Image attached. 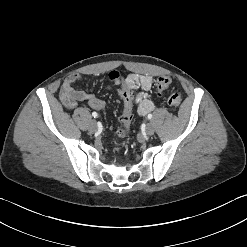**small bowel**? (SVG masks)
Returning a JSON list of instances; mask_svg holds the SVG:
<instances>
[{
	"label": "small bowel",
	"mask_w": 247,
	"mask_h": 247,
	"mask_svg": "<svg viewBox=\"0 0 247 247\" xmlns=\"http://www.w3.org/2000/svg\"><path fill=\"white\" fill-rule=\"evenodd\" d=\"M79 80L80 75L75 73L65 78L60 90V98L64 105L68 109H73L78 102L87 101L91 108L102 110L105 107L103 100L74 87V84ZM124 81L131 86L130 92L133 94V107H135L138 115L144 116L152 111L155 107L149 95L152 87V78L148 75L131 73Z\"/></svg>",
	"instance_id": "obj_1"
}]
</instances>
